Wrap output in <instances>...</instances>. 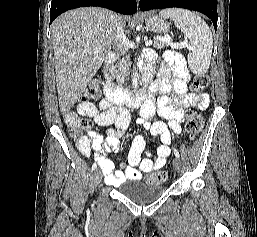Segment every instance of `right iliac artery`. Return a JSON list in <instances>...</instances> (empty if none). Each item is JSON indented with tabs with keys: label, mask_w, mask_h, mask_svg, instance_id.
I'll return each mask as SVG.
<instances>
[{
	"label": "right iliac artery",
	"mask_w": 257,
	"mask_h": 237,
	"mask_svg": "<svg viewBox=\"0 0 257 237\" xmlns=\"http://www.w3.org/2000/svg\"><path fill=\"white\" fill-rule=\"evenodd\" d=\"M96 168H97V164L94 163V164L92 165V171L95 170Z\"/></svg>",
	"instance_id": "1"
}]
</instances>
